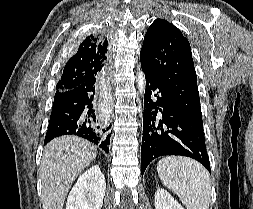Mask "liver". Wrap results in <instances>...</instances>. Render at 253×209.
<instances>
[{
  "label": "liver",
  "mask_w": 253,
  "mask_h": 209,
  "mask_svg": "<svg viewBox=\"0 0 253 209\" xmlns=\"http://www.w3.org/2000/svg\"><path fill=\"white\" fill-rule=\"evenodd\" d=\"M96 155L97 147L77 136H61L46 145L40 166L44 209H63L72 183Z\"/></svg>",
  "instance_id": "obj_1"
}]
</instances>
